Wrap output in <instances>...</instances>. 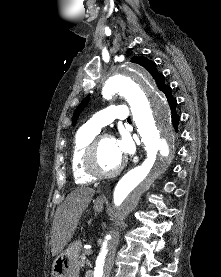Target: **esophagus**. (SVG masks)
<instances>
[{
	"label": "esophagus",
	"instance_id": "obj_1",
	"mask_svg": "<svg viewBox=\"0 0 221 277\" xmlns=\"http://www.w3.org/2000/svg\"><path fill=\"white\" fill-rule=\"evenodd\" d=\"M99 199L103 200V199H105V196H104V195H101V196L99 197Z\"/></svg>",
	"mask_w": 221,
	"mask_h": 277
}]
</instances>
